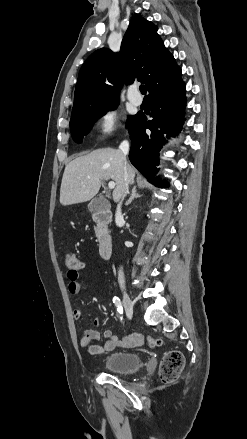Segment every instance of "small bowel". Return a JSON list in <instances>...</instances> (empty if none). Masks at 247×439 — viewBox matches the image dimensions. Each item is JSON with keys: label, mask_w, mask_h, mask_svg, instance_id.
Wrapping results in <instances>:
<instances>
[{"label": "small bowel", "mask_w": 247, "mask_h": 439, "mask_svg": "<svg viewBox=\"0 0 247 439\" xmlns=\"http://www.w3.org/2000/svg\"><path fill=\"white\" fill-rule=\"evenodd\" d=\"M69 280L68 291L76 295L81 291V284L79 282V271L69 270L67 273ZM73 316L75 319L80 318L81 310L75 308L73 310ZM94 324L98 326L100 324V319H96ZM105 342L102 345L94 344L101 338V334L93 329H86L83 331L80 337L81 346L91 355H102L113 351L116 348H131L141 345L143 339L141 336L136 334H128L124 337H118L111 330H106L103 333Z\"/></svg>", "instance_id": "c3829d8e"}]
</instances>
